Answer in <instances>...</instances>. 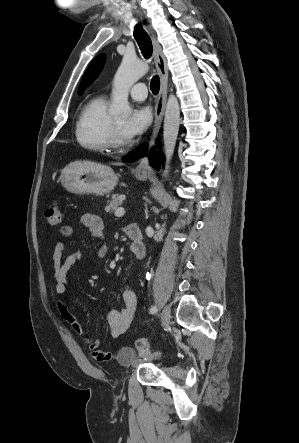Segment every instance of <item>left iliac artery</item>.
Instances as JSON below:
<instances>
[{
	"label": "left iliac artery",
	"instance_id": "1",
	"mask_svg": "<svg viewBox=\"0 0 299 443\" xmlns=\"http://www.w3.org/2000/svg\"><path fill=\"white\" fill-rule=\"evenodd\" d=\"M149 312H150L151 314L156 313V312H157V307H156V306H152V307L150 308Z\"/></svg>",
	"mask_w": 299,
	"mask_h": 443
}]
</instances>
